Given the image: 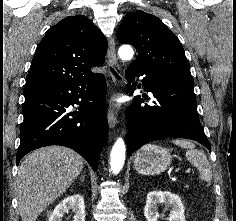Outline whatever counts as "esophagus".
I'll return each instance as SVG.
<instances>
[{
	"instance_id": "1",
	"label": "esophagus",
	"mask_w": 236,
	"mask_h": 221,
	"mask_svg": "<svg viewBox=\"0 0 236 221\" xmlns=\"http://www.w3.org/2000/svg\"><path fill=\"white\" fill-rule=\"evenodd\" d=\"M108 61L112 66L117 64V56H116V49H115V41L113 37L109 38L108 41ZM117 123V115L113 110V107L110 105L108 110V124L110 128H114Z\"/></svg>"
}]
</instances>
